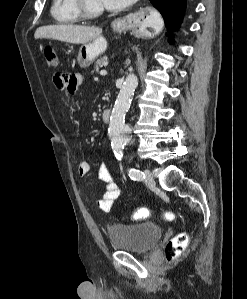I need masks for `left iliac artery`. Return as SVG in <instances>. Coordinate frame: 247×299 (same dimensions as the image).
<instances>
[{"label":"left iliac artery","instance_id":"obj_1","mask_svg":"<svg viewBox=\"0 0 247 299\" xmlns=\"http://www.w3.org/2000/svg\"><path fill=\"white\" fill-rule=\"evenodd\" d=\"M120 159H121V156H119V160ZM128 173H129L130 178L133 180L142 181L143 179H145V174L138 169L130 168L128 170Z\"/></svg>","mask_w":247,"mask_h":299}]
</instances>
